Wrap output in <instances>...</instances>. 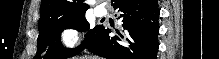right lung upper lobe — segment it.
Returning a JSON list of instances; mask_svg holds the SVG:
<instances>
[{"mask_svg": "<svg viewBox=\"0 0 219 59\" xmlns=\"http://www.w3.org/2000/svg\"><path fill=\"white\" fill-rule=\"evenodd\" d=\"M88 8L84 0H42L39 28L52 21L85 14Z\"/></svg>", "mask_w": 219, "mask_h": 59, "instance_id": "right-lung-upper-lobe-1", "label": "right lung upper lobe"}]
</instances>
